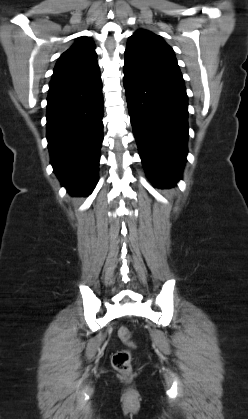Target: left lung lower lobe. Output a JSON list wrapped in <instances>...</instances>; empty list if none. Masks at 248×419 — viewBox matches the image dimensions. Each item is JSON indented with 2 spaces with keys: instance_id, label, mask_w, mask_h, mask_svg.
Segmentation results:
<instances>
[{
  "instance_id": "0a47b994",
  "label": "left lung lower lobe",
  "mask_w": 248,
  "mask_h": 419,
  "mask_svg": "<svg viewBox=\"0 0 248 419\" xmlns=\"http://www.w3.org/2000/svg\"><path fill=\"white\" fill-rule=\"evenodd\" d=\"M124 87L139 154L157 185L181 179L187 155L188 103L180 70L125 51Z\"/></svg>"
}]
</instances>
